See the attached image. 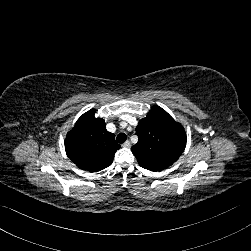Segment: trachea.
I'll return each mask as SVG.
<instances>
[{
    "instance_id": "obj_1",
    "label": "trachea",
    "mask_w": 251,
    "mask_h": 251,
    "mask_svg": "<svg viewBox=\"0 0 251 251\" xmlns=\"http://www.w3.org/2000/svg\"><path fill=\"white\" fill-rule=\"evenodd\" d=\"M126 139H127V136L125 133H120L116 137L117 142L120 144L124 143L126 141Z\"/></svg>"
}]
</instances>
